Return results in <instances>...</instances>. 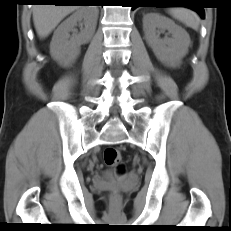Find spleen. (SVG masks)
<instances>
[{
	"label": "spleen",
	"mask_w": 231,
	"mask_h": 231,
	"mask_svg": "<svg viewBox=\"0 0 231 231\" xmlns=\"http://www.w3.org/2000/svg\"><path fill=\"white\" fill-rule=\"evenodd\" d=\"M169 12L173 18L177 19L181 23L195 30H198L200 19L195 12L181 7L171 8Z\"/></svg>",
	"instance_id": "3e777b00"
}]
</instances>
